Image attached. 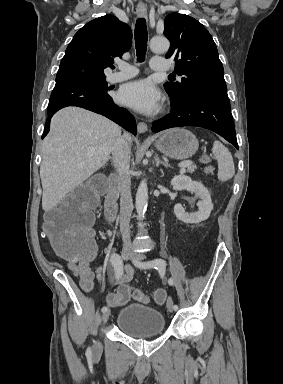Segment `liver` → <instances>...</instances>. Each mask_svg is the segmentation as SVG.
I'll use <instances>...</instances> for the list:
<instances>
[{"instance_id": "obj_1", "label": "liver", "mask_w": 283, "mask_h": 384, "mask_svg": "<svg viewBox=\"0 0 283 384\" xmlns=\"http://www.w3.org/2000/svg\"><path fill=\"white\" fill-rule=\"evenodd\" d=\"M121 128L82 108H64L53 116L42 144V210L49 212L110 160ZM131 142V140H129Z\"/></svg>"}]
</instances>
